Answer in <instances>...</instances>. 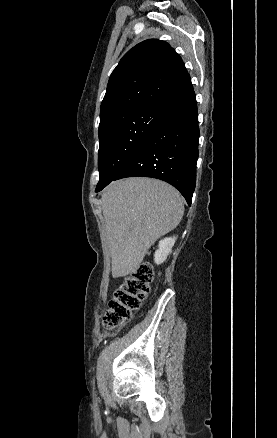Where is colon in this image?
<instances>
[{
  "label": "colon",
  "mask_w": 277,
  "mask_h": 438,
  "mask_svg": "<svg viewBox=\"0 0 277 438\" xmlns=\"http://www.w3.org/2000/svg\"><path fill=\"white\" fill-rule=\"evenodd\" d=\"M152 270L148 266L138 267L132 274L123 278L113 291L105 321L109 326L127 322L140 309L141 303L150 292L149 279ZM106 327L104 324L101 326Z\"/></svg>",
  "instance_id": "colon-1"
}]
</instances>
